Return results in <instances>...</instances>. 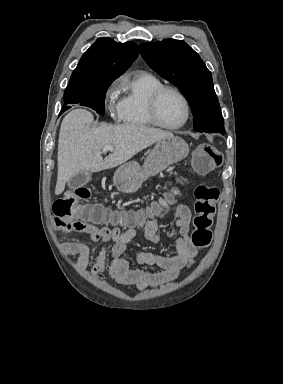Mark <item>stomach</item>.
Wrapping results in <instances>:
<instances>
[{
	"label": "stomach",
	"instance_id": "obj_1",
	"mask_svg": "<svg viewBox=\"0 0 283 384\" xmlns=\"http://www.w3.org/2000/svg\"><path fill=\"white\" fill-rule=\"evenodd\" d=\"M188 154L189 146L185 140L178 136H169L156 142L153 150H150L145 158L143 166H139L134 160L120 166L114 174L113 182L119 192L134 194L147 178L156 176L171 164L181 162Z\"/></svg>",
	"mask_w": 283,
	"mask_h": 384
}]
</instances>
